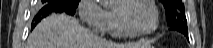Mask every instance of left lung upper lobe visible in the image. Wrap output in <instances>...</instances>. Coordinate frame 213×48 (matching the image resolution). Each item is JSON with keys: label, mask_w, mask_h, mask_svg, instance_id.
<instances>
[{"label": "left lung upper lobe", "mask_w": 213, "mask_h": 48, "mask_svg": "<svg viewBox=\"0 0 213 48\" xmlns=\"http://www.w3.org/2000/svg\"><path fill=\"white\" fill-rule=\"evenodd\" d=\"M166 10V19L169 25L187 28L184 5L181 0H161Z\"/></svg>", "instance_id": "5c2ea615"}]
</instances>
